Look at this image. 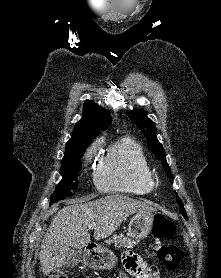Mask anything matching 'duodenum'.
I'll list each match as a JSON object with an SVG mask.
<instances>
[{"mask_svg": "<svg viewBox=\"0 0 221 278\" xmlns=\"http://www.w3.org/2000/svg\"><path fill=\"white\" fill-rule=\"evenodd\" d=\"M95 250H96V246L95 245L91 244V245L87 246L88 256L89 257L93 256Z\"/></svg>", "mask_w": 221, "mask_h": 278, "instance_id": "410a0bca", "label": "duodenum"}]
</instances>
